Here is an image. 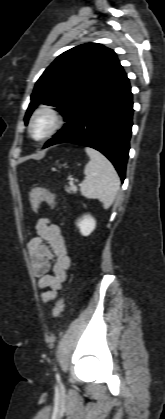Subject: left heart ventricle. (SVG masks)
<instances>
[{"label": "left heart ventricle", "instance_id": "left-heart-ventricle-1", "mask_svg": "<svg viewBox=\"0 0 165 419\" xmlns=\"http://www.w3.org/2000/svg\"><path fill=\"white\" fill-rule=\"evenodd\" d=\"M50 126V119L47 116H40L33 124V133L35 136L44 134Z\"/></svg>", "mask_w": 165, "mask_h": 419}]
</instances>
